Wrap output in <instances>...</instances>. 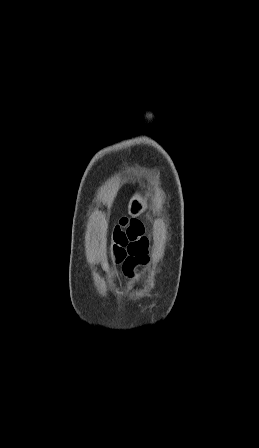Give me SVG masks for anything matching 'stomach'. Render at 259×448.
<instances>
[{
	"instance_id": "obj_1",
	"label": "stomach",
	"mask_w": 259,
	"mask_h": 448,
	"mask_svg": "<svg viewBox=\"0 0 259 448\" xmlns=\"http://www.w3.org/2000/svg\"><path fill=\"white\" fill-rule=\"evenodd\" d=\"M147 200L140 196V194H135L133 198H131L128 204V214L132 216V218H136V216H140L143 214L144 210H146Z\"/></svg>"
}]
</instances>
